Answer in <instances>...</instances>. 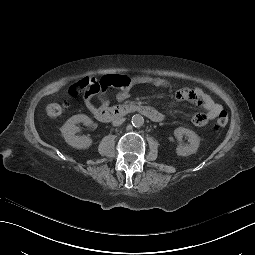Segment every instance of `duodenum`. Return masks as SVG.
<instances>
[{"instance_id": "duodenum-1", "label": "duodenum", "mask_w": 255, "mask_h": 255, "mask_svg": "<svg viewBox=\"0 0 255 255\" xmlns=\"http://www.w3.org/2000/svg\"><path fill=\"white\" fill-rule=\"evenodd\" d=\"M91 112L101 122H111L130 113H139L154 122H160L164 119V116L156 109L135 104L114 107H94Z\"/></svg>"}]
</instances>
